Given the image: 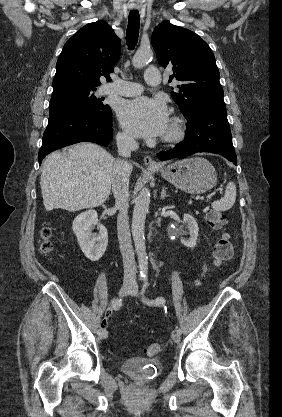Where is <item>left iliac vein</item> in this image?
<instances>
[{
  "instance_id": "1",
  "label": "left iliac vein",
  "mask_w": 282,
  "mask_h": 417,
  "mask_svg": "<svg viewBox=\"0 0 282 417\" xmlns=\"http://www.w3.org/2000/svg\"><path fill=\"white\" fill-rule=\"evenodd\" d=\"M129 294L130 295H134V296L138 295V287H137V285H133V288L129 292ZM172 339H173L174 342L179 343L180 342V339H181L180 334L174 333L172 335Z\"/></svg>"
}]
</instances>
